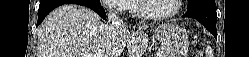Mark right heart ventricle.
Here are the masks:
<instances>
[{"label":"right heart ventricle","mask_w":249,"mask_h":57,"mask_svg":"<svg viewBox=\"0 0 249 57\" xmlns=\"http://www.w3.org/2000/svg\"><path fill=\"white\" fill-rule=\"evenodd\" d=\"M130 4H131L130 9L133 10L134 13L139 16L140 13H139V8H138V3L136 1H131Z\"/></svg>","instance_id":"e07e8e85"}]
</instances>
